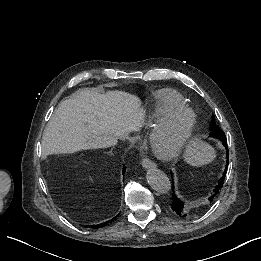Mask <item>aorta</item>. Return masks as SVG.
<instances>
[{
  "label": "aorta",
  "mask_w": 261,
  "mask_h": 261,
  "mask_svg": "<svg viewBox=\"0 0 261 261\" xmlns=\"http://www.w3.org/2000/svg\"><path fill=\"white\" fill-rule=\"evenodd\" d=\"M146 179L151 188L158 193L165 194L171 189V182L167 175L155 167L147 171Z\"/></svg>",
  "instance_id": "1"
}]
</instances>
